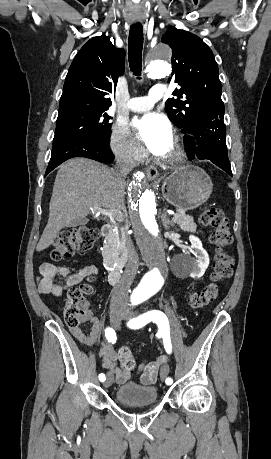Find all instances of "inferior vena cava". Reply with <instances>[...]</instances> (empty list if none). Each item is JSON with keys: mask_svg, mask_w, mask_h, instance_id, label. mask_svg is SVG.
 <instances>
[{"mask_svg": "<svg viewBox=\"0 0 271 459\" xmlns=\"http://www.w3.org/2000/svg\"><path fill=\"white\" fill-rule=\"evenodd\" d=\"M133 166L131 162H117L116 164V174L120 176V178H125L129 172H131ZM119 218H122V214H118ZM130 275V271H128ZM127 275V273H125ZM128 275V277H129ZM132 279H127V277H123L115 287H113L112 291V301H116V299H126L128 297V289L131 285Z\"/></svg>", "mask_w": 271, "mask_h": 459, "instance_id": "1", "label": "inferior vena cava"}]
</instances>
